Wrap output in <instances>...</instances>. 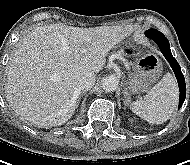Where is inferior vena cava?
I'll list each match as a JSON object with an SVG mask.
<instances>
[{"instance_id":"602c4592","label":"inferior vena cava","mask_w":190,"mask_h":165,"mask_svg":"<svg viewBox=\"0 0 190 165\" xmlns=\"http://www.w3.org/2000/svg\"><path fill=\"white\" fill-rule=\"evenodd\" d=\"M95 81H96V76L92 72H86L84 74L77 76L75 81L76 91L80 93L90 90L94 86Z\"/></svg>"}]
</instances>
